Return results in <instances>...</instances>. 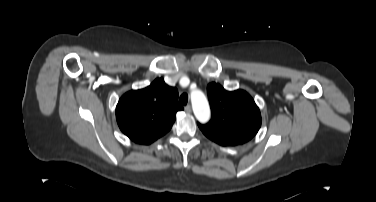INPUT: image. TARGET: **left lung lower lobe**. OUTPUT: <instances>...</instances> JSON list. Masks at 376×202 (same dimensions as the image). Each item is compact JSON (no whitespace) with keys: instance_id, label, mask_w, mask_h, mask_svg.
<instances>
[{"instance_id":"0a47b994","label":"left lung lower lobe","mask_w":376,"mask_h":202,"mask_svg":"<svg viewBox=\"0 0 376 202\" xmlns=\"http://www.w3.org/2000/svg\"><path fill=\"white\" fill-rule=\"evenodd\" d=\"M203 132V131H202ZM204 135H206L209 139H211V137L209 135H207L205 132H203ZM223 146H226V145H223Z\"/></svg>"}]
</instances>
